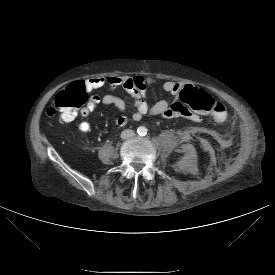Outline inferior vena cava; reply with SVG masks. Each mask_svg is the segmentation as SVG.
<instances>
[{
    "instance_id": "inferior-vena-cava-1",
    "label": "inferior vena cava",
    "mask_w": 275,
    "mask_h": 275,
    "mask_svg": "<svg viewBox=\"0 0 275 275\" xmlns=\"http://www.w3.org/2000/svg\"><path fill=\"white\" fill-rule=\"evenodd\" d=\"M133 136H134V131L131 129H126V130L122 131V133H121L122 139H127V138H130Z\"/></svg>"
}]
</instances>
